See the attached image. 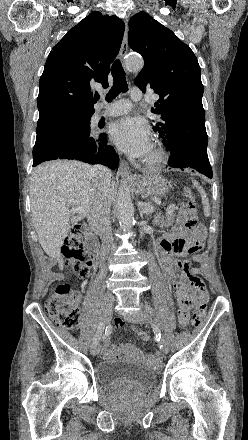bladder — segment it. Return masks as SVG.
<instances>
[{
  "label": "bladder",
  "mask_w": 248,
  "mask_h": 440,
  "mask_svg": "<svg viewBox=\"0 0 248 440\" xmlns=\"http://www.w3.org/2000/svg\"><path fill=\"white\" fill-rule=\"evenodd\" d=\"M95 376L103 386L116 390H144L156 380V372L151 367L115 359L99 362Z\"/></svg>",
  "instance_id": "31cf9c89"
}]
</instances>
